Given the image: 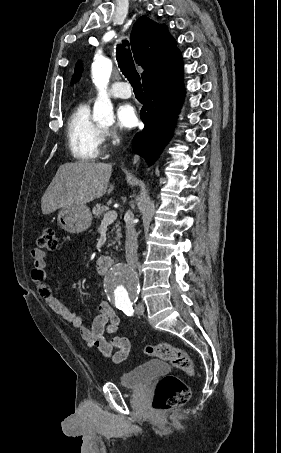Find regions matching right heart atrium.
Segmentation results:
<instances>
[{
	"instance_id": "obj_1",
	"label": "right heart atrium",
	"mask_w": 281,
	"mask_h": 453,
	"mask_svg": "<svg viewBox=\"0 0 281 453\" xmlns=\"http://www.w3.org/2000/svg\"><path fill=\"white\" fill-rule=\"evenodd\" d=\"M105 136H107L113 143H117L124 136V133L120 129L113 127L105 130Z\"/></svg>"
}]
</instances>
